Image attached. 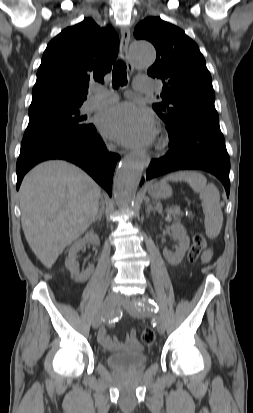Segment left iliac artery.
<instances>
[{
    "instance_id": "left-iliac-artery-1",
    "label": "left iliac artery",
    "mask_w": 253,
    "mask_h": 413,
    "mask_svg": "<svg viewBox=\"0 0 253 413\" xmlns=\"http://www.w3.org/2000/svg\"><path fill=\"white\" fill-rule=\"evenodd\" d=\"M140 305L154 312L159 311L157 303L154 300L150 299L148 296H144L142 299H140Z\"/></svg>"
}]
</instances>
